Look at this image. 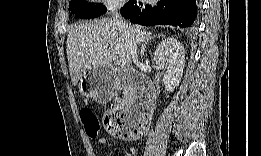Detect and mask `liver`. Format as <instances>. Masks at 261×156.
I'll list each match as a JSON object with an SVG mask.
<instances>
[{
	"mask_svg": "<svg viewBox=\"0 0 261 156\" xmlns=\"http://www.w3.org/2000/svg\"><path fill=\"white\" fill-rule=\"evenodd\" d=\"M128 26L137 45L151 37L147 28ZM67 58L74 86L86 71L110 66L112 58L124 59L128 64L133 61L126 36L109 18L71 27L67 37Z\"/></svg>",
	"mask_w": 261,
	"mask_h": 156,
	"instance_id": "1",
	"label": "liver"
}]
</instances>
